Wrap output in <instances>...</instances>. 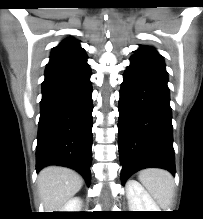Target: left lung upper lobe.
Here are the masks:
<instances>
[{
  "instance_id": "1",
  "label": "left lung upper lobe",
  "mask_w": 203,
  "mask_h": 219,
  "mask_svg": "<svg viewBox=\"0 0 203 219\" xmlns=\"http://www.w3.org/2000/svg\"><path fill=\"white\" fill-rule=\"evenodd\" d=\"M133 56L155 60L164 64L162 56L153 47L150 46L140 45V48L135 51Z\"/></svg>"
}]
</instances>
